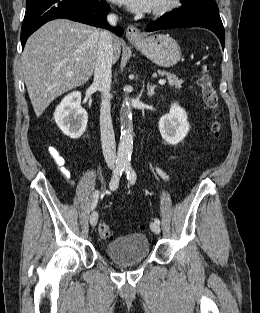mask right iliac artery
Segmentation results:
<instances>
[{
    "instance_id": "right-iliac-artery-1",
    "label": "right iliac artery",
    "mask_w": 260,
    "mask_h": 313,
    "mask_svg": "<svg viewBox=\"0 0 260 313\" xmlns=\"http://www.w3.org/2000/svg\"><path fill=\"white\" fill-rule=\"evenodd\" d=\"M124 171V165H117L114 172H113V176L111 178V181H110V184H109V187L111 190H115L118 185H119V180H120V177L122 175ZM98 197H99V191H95L94 193V200L92 202V205H91V210H93L96 205H97V200H98Z\"/></svg>"
}]
</instances>
